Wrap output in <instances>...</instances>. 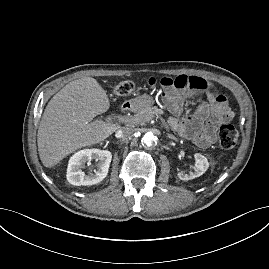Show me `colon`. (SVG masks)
Instances as JSON below:
<instances>
[{"label": "colon", "instance_id": "obj_1", "mask_svg": "<svg viewBox=\"0 0 269 269\" xmlns=\"http://www.w3.org/2000/svg\"><path fill=\"white\" fill-rule=\"evenodd\" d=\"M136 89L133 81H122L112 88V94L116 97L131 95ZM219 144L223 149H233L238 142V132L233 125L224 124L218 132Z\"/></svg>", "mask_w": 269, "mask_h": 269}]
</instances>
